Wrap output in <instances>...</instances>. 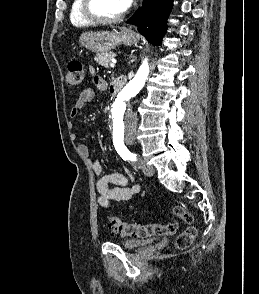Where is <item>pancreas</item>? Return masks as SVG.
<instances>
[{
  "instance_id": "1",
  "label": "pancreas",
  "mask_w": 259,
  "mask_h": 294,
  "mask_svg": "<svg viewBox=\"0 0 259 294\" xmlns=\"http://www.w3.org/2000/svg\"><path fill=\"white\" fill-rule=\"evenodd\" d=\"M114 57H115V53H113V52L102 53V54H98L95 60L99 65H102V66L108 68L111 60Z\"/></svg>"
}]
</instances>
